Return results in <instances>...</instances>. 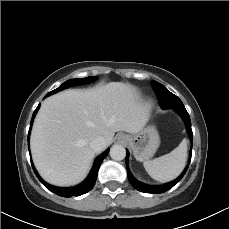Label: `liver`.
I'll use <instances>...</instances> for the list:
<instances>
[{
    "mask_svg": "<svg viewBox=\"0 0 229 229\" xmlns=\"http://www.w3.org/2000/svg\"><path fill=\"white\" fill-rule=\"evenodd\" d=\"M149 115V107L130 84L110 82L52 95L43 101L31 132L35 167L50 184H78L87 176L95 156L90 147L93 139L104 137L106 148L115 132L141 131Z\"/></svg>",
    "mask_w": 229,
    "mask_h": 229,
    "instance_id": "obj_1",
    "label": "liver"
}]
</instances>
